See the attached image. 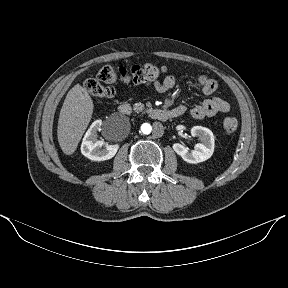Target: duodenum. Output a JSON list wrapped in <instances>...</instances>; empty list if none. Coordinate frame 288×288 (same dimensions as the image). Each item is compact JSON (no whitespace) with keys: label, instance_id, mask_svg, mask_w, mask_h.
<instances>
[{"label":"duodenum","instance_id":"obj_1","mask_svg":"<svg viewBox=\"0 0 288 288\" xmlns=\"http://www.w3.org/2000/svg\"><path fill=\"white\" fill-rule=\"evenodd\" d=\"M119 112L123 115H130L131 106L128 103H122L119 106ZM182 115V111L180 109H165V108H155L150 112V117L159 120L166 121L170 118L179 117Z\"/></svg>","mask_w":288,"mask_h":288}]
</instances>
